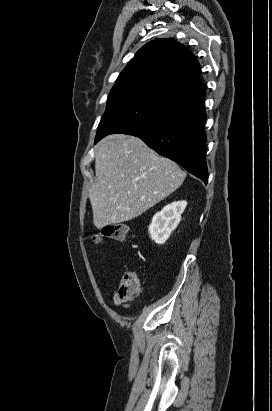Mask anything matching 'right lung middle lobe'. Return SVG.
<instances>
[{
	"label": "right lung middle lobe",
	"mask_w": 272,
	"mask_h": 411,
	"mask_svg": "<svg viewBox=\"0 0 272 411\" xmlns=\"http://www.w3.org/2000/svg\"><path fill=\"white\" fill-rule=\"evenodd\" d=\"M179 108L157 95L141 90L111 92L96 137L127 133Z\"/></svg>",
	"instance_id": "1"
}]
</instances>
